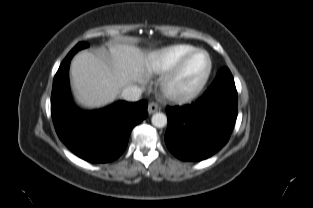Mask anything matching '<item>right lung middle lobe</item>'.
<instances>
[{
    "instance_id": "1",
    "label": "right lung middle lobe",
    "mask_w": 313,
    "mask_h": 208,
    "mask_svg": "<svg viewBox=\"0 0 313 208\" xmlns=\"http://www.w3.org/2000/svg\"><path fill=\"white\" fill-rule=\"evenodd\" d=\"M85 47H88V44L85 42H81V43H78L70 52H75Z\"/></svg>"
}]
</instances>
